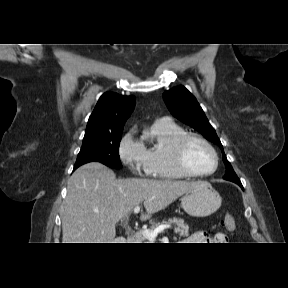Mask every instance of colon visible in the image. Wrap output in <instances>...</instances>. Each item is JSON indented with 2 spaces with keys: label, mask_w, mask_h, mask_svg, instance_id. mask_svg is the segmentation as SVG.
Listing matches in <instances>:
<instances>
[{
  "label": "colon",
  "mask_w": 288,
  "mask_h": 288,
  "mask_svg": "<svg viewBox=\"0 0 288 288\" xmlns=\"http://www.w3.org/2000/svg\"><path fill=\"white\" fill-rule=\"evenodd\" d=\"M222 225L227 231H233L236 227L235 219L232 215L227 214L222 221Z\"/></svg>",
  "instance_id": "5ec220e1"
}]
</instances>
